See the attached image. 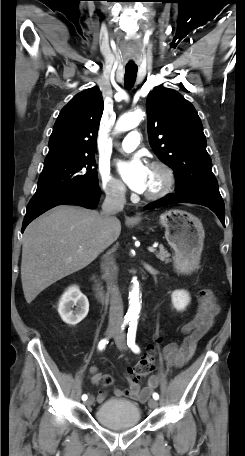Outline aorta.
Returning a JSON list of instances; mask_svg holds the SVG:
<instances>
[{
	"label": "aorta",
	"instance_id": "obj_1",
	"mask_svg": "<svg viewBox=\"0 0 245 456\" xmlns=\"http://www.w3.org/2000/svg\"><path fill=\"white\" fill-rule=\"evenodd\" d=\"M144 115V112L137 110L135 112L121 116L116 123L115 130L117 132H122L137 127L140 121L143 119ZM132 282L133 286L132 290L129 292V308L126 317L130 319H137L141 310V304L139 299V285L136 278H134Z\"/></svg>",
	"mask_w": 245,
	"mask_h": 456
}]
</instances>
